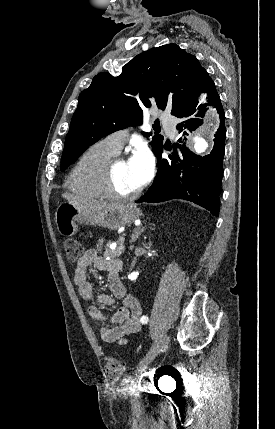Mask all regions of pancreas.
<instances>
[{
	"label": "pancreas",
	"mask_w": 275,
	"mask_h": 429,
	"mask_svg": "<svg viewBox=\"0 0 275 429\" xmlns=\"http://www.w3.org/2000/svg\"><path fill=\"white\" fill-rule=\"evenodd\" d=\"M111 243H108L105 248L104 256L115 258L119 257L124 252V246L121 245V238L117 242V246L114 249L110 248Z\"/></svg>",
	"instance_id": "1"
}]
</instances>
